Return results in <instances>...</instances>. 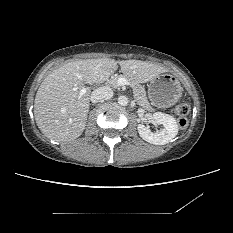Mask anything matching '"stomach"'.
Here are the masks:
<instances>
[{
    "mask_svg": "<svg viewBox=\"0 0 233 233\" xmlns=\"http://www.w3.org/2000/svg\"><path fill=\"white\" fill-rule=\"evenodd\" d=\"M182 94L179 80L168 73L152 79L148 86V97L154 106L167 108L174 105Z\"/></svg>",
    "mask_w": 233,
    "mask_h": 233,
    "instance_id": "0dacf381",
    "label": "stomach"
}]
</instances>
